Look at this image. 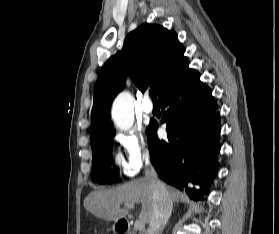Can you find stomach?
<instances>
[{
	"instance_id": "1",
	"label": "stomach",
	"mask_w": 279,
	"mask_h": 234,
	"mask_svg": "<svg viewBox=\"0 0 279 234\" xmlns=\"http://www.w3.org/2000/svg\"><path fill=\"white\" fill-rule=\"evenodd\" d=\"M115 228H116V224L113 225V230H116Z\"/></svg>"
}]
</instances>
